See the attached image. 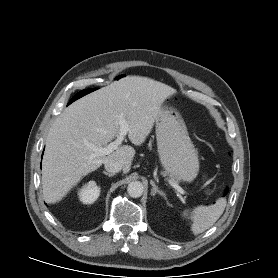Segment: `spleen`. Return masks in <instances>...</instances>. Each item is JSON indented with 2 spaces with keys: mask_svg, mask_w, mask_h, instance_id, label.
<instances>
[{
  "mask_svg": "<svg viewBox=\"0 0 278 278\" xmlns=\"http://www.w3.org/2000/svg\"><path fill=\"white\" fill-rule=\"evenodd\" d=\"M226 203L225 198H219L214 205L196 207L191 216L193 219L192 232L197 235L209 229L224 212Z\"/></svg>",
  "mask_w": 278,
  "mask_h": 278,
  "instance_id": "spleen-1",
  "label": "spleen"
}]
</instances>
